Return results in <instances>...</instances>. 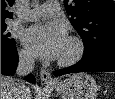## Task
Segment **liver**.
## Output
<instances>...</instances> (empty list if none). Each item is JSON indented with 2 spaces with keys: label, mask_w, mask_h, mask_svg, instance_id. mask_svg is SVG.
Returning a JSON list of instances; mask_svg holds the SVG:
<instances>
[{
  "label": "liver",
  "mask_w": 115,
  "mask_h": 99,
  "mask_svg": "<svg viewBox=\"0 0 115 99\" xmlns=\"http://www.w3.org/2000/svg\"><path fill=\"white\" fill-rule=\"evenodd\" d=\"M16 86L17 82L13 78L1 75V99H15ZM28 90L24 99H31V91Z\"/></svg>",
  "instance_id": "liver-1"
}]
</instances>
